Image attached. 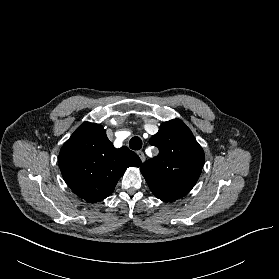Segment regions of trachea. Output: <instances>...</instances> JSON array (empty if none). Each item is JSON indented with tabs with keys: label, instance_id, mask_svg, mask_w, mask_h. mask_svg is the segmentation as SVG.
Instances as JSON below:
<instances>
[{
	"label": "trachea",
	"instance_id": "3493384b",
	"mask_svg": "<svg viewBox=\"0 0 279 279\" xmlns=\"http://www.w3.org/2000/svg\"><path fill=\"white\" fill-rule=\"evenodd\" d=\"M129 146L132 150H140L142 148V140L135 136L130 139Z\"/></svg>",
	"mask_w": 279,
	"mask_h": 279
}]
</instances>
